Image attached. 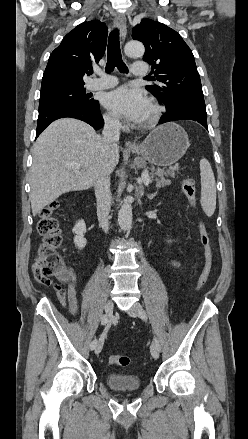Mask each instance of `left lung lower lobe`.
I'll list each match as a JSON object with an SVG mask.
<instances>
[{"label": "left lung lower lobe", "instance_id": "obj_1", "mask_svg": "<svg viewBox=\"0 0 248 439\" xmlns=\"http://www.w3.org/2000/svg\"><path fill=\"white\" fill-rule=\"evenodd\" d=\"M176 120H193L199 122L206 129L207 127V115L206 108L194 106V105H181L176 107L170 112L162 115L159 123L163 124L166 122L176 121Z\"/></svg>", "mask_w": 248, "mask_h": 439}]
</instances>
